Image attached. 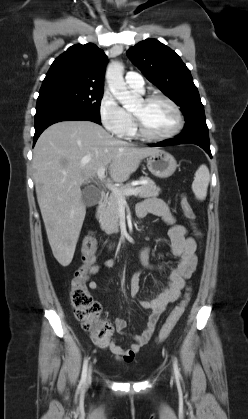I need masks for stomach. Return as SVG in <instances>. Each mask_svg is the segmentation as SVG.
<instances>
[{
    "label": "stomach",
    "mask_w": 248,
    "mask_h": 419,
    "mask_svg": "<svg viewBox=\"0 0 248 419\" xmlns=\"http://www.w3.org/2000/svg\"><path fill=\"white\" fill-rule=\"evenodd\" d=\"M147 167L156 177L168 178L175 172L177 162L171 154L160 150L147 158Z\"/></svg>",
    "instance_id": "stomach-1"
}]
</instances>
